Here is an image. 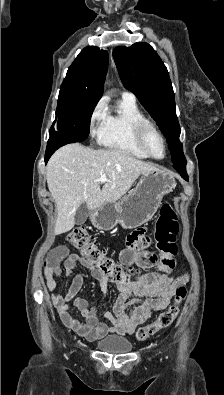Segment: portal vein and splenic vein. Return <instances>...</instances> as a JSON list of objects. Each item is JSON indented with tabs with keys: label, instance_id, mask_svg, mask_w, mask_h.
Here are the masks:
<instances>
[{
	"label": "portal vein and splenic vein",
	"instance_id": "1",
	"mask_svg": "<svg viewBox=\"0 0 224 395\" xmlns=\"http://www.w3.org/2000/svg\"><path fill=\"white\" fill-rule=\"evenodd\" d=\"M99 181H100V182H106V181H108L107 176H106L105 174H103V175L100 177Z\"/></svg>",
	"mask_w": 224,
	"mask_h": 395
}]
</instances>
